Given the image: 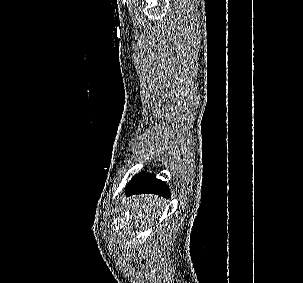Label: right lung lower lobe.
Segmentation results:
<instances>
[{"label": "right lung lower lobe", "mask_w": 303, "mask_h": 283, "mask_svg": "<svg viewBox=\"0 0 303 283\" xmlns=\"http://www.w3.org/2000/svg\"><path fill=\"white\" fill-rule=\"evenodd\" d=\"M126 193L127 195L154 193L167 198L170 196V190L166 183L156 179L154 174L146 172L137 174L132 178L126 186Z\"/></svg>", "instance_id": "obj_1"}]
</instances>
